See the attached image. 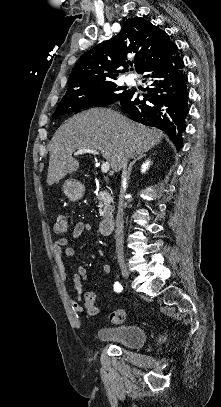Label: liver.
Returning a JSON list of instances; mask_svg holds the SVG:
<instances>
[{
	"label": "liver",
	"instance_id": "1",
	"mask_svg": "<svg viewBox=\"0 0 221 407\" xmlns=\"http://www.w3.org/2000/svg\"><path fill=\"white\" fill-rule=\"evenodd\" d=\"M163 132L135 123L109 108H93L67 119L53 135L47 175L48 186L79 169L72 154L79 149L99 150L114 172L124 161L157 145Z\"/></svg>",
	"mask_w": 221,
	"mask_h": 407
}]
</instances>
